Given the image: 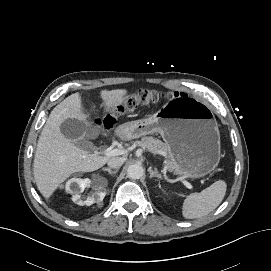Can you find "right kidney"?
Here are the masks:
<instances>
[{
  "label": "right kidney",
  "instance_id": "ca27d5eb",
  "mask_svg": "<svg viewBox=\"0 0 271 271\" xmlns=\"http://www.w3.org/2000/svg\"><path fill=\"white\" fill-rule=\"evenodd\" d=\"M91 185L92 181L90 179L72 178L66 182L65 188L68 193L73 195V202L77 203L78 205L90 206L95 202L102 201L105 197L103 187L98 184H93L94 192L87 198H83L80 192Z\"/></svg>",
  "mask_w": 271,
  "mask_h": 271
}]
</instances>
